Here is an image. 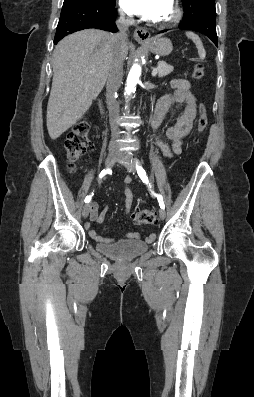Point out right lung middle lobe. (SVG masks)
<instances>
[{
	"instance_id": "obj_1",
	"label": "right lung middle lobe",
	"mask_w": 254,
	"mask_h": 397,
	"mask_svg": "<svg viewBox=\"0 0 254 397\" xmlns=\"http://www.w3.org/2000/svg\"><path fill=\"white\" fill-rule=\"evenodd\" d=\"M83 2L93 4L96 6L110 7L115 5V0H81Z\"/></svg>"
}]
</instances>
